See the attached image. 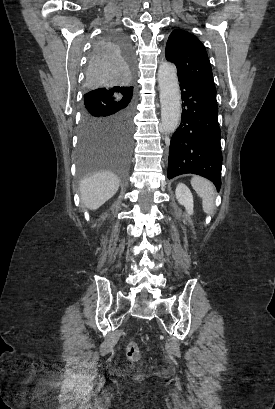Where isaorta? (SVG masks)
<instances>
[{
    "label": "aorta",
    "instance_id": "aorta-1",
    "mask_svg": "<svg viewBox=\"0 0 275 409\" xmlns=\"http://www.w3.org/2000/svg\"><path fill=\"white\" fill-rule=\"evenodd\" d=\"M162 132H175L181 118V96L175 64L161 62L158 68Z\"/></svg>",
    "mask_w": 275,
    "mask_h": 409
}]
</instances>
